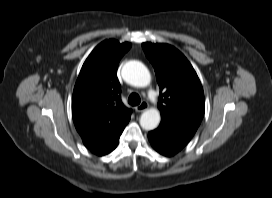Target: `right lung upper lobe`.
<instances>
[{
  "label": "right lung upper lobe",
  "instance_id": "right-lung-upper-lobe-1",
  "mask_svg": "<svg viewBox=\"0 0 272 198\" xmlns=\"http://www.w3.org/2000/svg\"><path fill=\"white\" fill-rule=\"evenodd\" d=\"M130 43L114 39L100 43L84 62L72 96V116L84 145L104 142L131 116L121 101L117 67Z\"/></svg>",
  "mask_w": 272,
  "mask_h": 198
}]
</instances>
